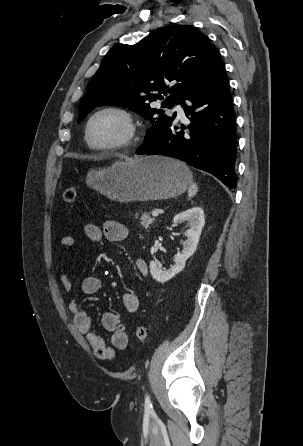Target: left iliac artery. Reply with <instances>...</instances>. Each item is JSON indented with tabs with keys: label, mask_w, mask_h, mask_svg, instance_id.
Returning <instances> with one entry per match:
<instances>
[{
	"label": "left iliac artery",
	"mask_w": 303,
	"mask_h": 446,
	"mask_svg": "<svg viewBox=\"0 0 303 446\" xmlns=\"http://www.w3.org/2000/svg\"><path fill=\"white\" fill-rule=\"evenodd\" d=\"M145 410L148 412H153L152 402L149 395L145 397Z\"/></svg>",
	"instance_id": "1"
}]
</instances>
